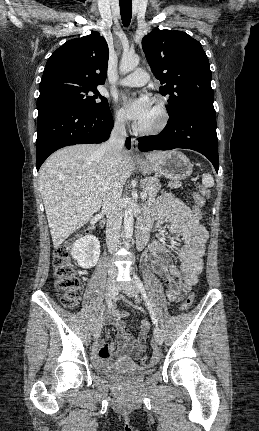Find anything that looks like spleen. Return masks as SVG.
I'll use <instances>...</instances> for the list:
<instances>
[{
    "mask_svg": "<svg viewBox=\"0 0 259 431\" xmlns=\"http://www.w3.org/2000/svg\"><path fill=\"white\" fill-rule=\"evenodd\" d=\"M202 184L206 188H211L214 185V179L211 174L204 173L202 176Z\"/></svg>",
    "mask_w": 259,
    "mask_h": 431,
    "instance_id": "obj_1",
    "label": "spleen"
}]
</instances>
